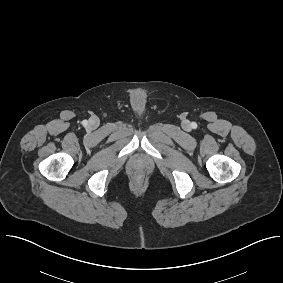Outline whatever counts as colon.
<instances>
[{"label":"colon","mask_w":283,"mask_h":283,"mask_svg":"<svg viewBox=\"0 0 283 283\" xmlns=\"http://www.w3.org/2000/svg\"><path fill=\"white\" fill-rule=\"evenodd\" d=\"M136 179H137V180H141V179H142V175H141V174H138V175L136 176Z\"/></svg>","instance_id":"colon-1"}]
</instances>
